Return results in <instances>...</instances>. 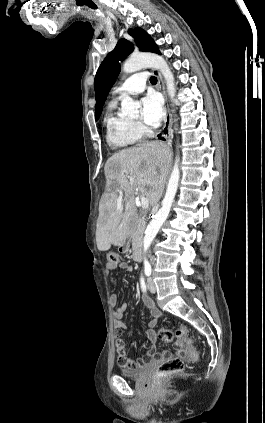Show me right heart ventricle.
Returning a JSON list of instances; mask_svg holds the SVG:
<instances>
[{
    "label": "right heart ventricle",
    "mask_w": 265,
    "mask_h": 423,
    "mask_svg": "<svg viewBox=\"0 0 265 423\" xmlns=\"http://www.w3.org/2000/svg\"><path fill=\"white\" fill-rule=\"evenodd\" d=\"M117 101H111L104 117L106 138L110 146L126 148L135 145L141 134L136 129L135 123L120 115L117 110Z\"/></svg>",
    "instance_id": "obj_1"
}]
</instances>
